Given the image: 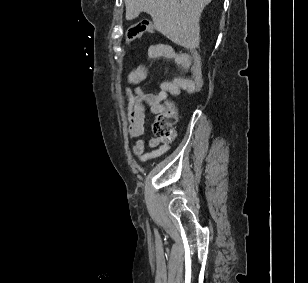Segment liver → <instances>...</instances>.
<instances>
[{"label": "liver", "mask_w": 308, "mask_h": 283, "mask_svg": "<svg viewBox=\"0 0 308 283\" xmlns=\"http://www.w3.org/2000/svg\"><path fill=\"white\" fill-rule=\"evenodd\" d=\"M212 0H125L126 20L148 13L157 31L172 42L195 49L200 43V16Z\"/></svg>", "instance_id": "1"}]
</instances>
